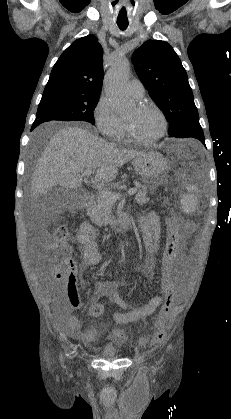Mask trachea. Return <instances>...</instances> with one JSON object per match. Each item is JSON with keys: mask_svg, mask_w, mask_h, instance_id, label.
Segmentation results:
<instances>
[{"mask_svg": "<svg viewBox=\"0 0 231 419\" xmlns=\"http://www.w3.org/2000/svg\"><path fill=\"white\" fill-rule=\"evenodd\" d=\"M118 27L120 30H125L128 27V23L125 22H117Z\"/></svg>", "mask_w": 231, "mask_h": 419, "instance_id": "3493384b", "label": "trachea"}]
</instances>
